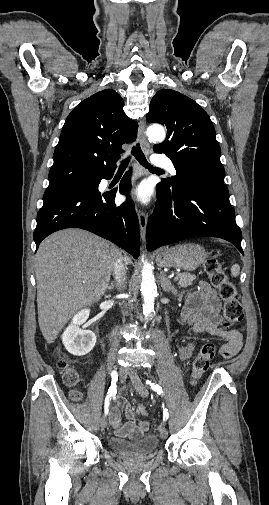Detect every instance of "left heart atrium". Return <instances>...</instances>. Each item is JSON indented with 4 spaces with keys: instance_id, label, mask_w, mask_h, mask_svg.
I'll use <instances>...</instances> for the list:
<instances>
[{
    "instance_id": "left-heart-atrium-1",
    "label": "left heart atrium",
    "mask_w": 269,
    "mask_h": 505,
    "mask_svg": "<svg viewBox=\"0 0 269 505\" xmlns=\"http://www.w3.org/2000/svg\"><path fill=\"white\" fill-rule=\"evenodd\" d=\"M128 198L140 203H147L149 201V191L145 185L141 184L130 193Z\"/></svg>"
}]
</instances>
